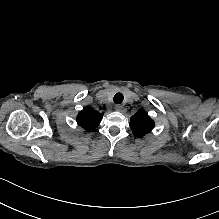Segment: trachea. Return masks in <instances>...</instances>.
<instances>
[{
	"mask_svg": "<svg viewBox=\"0 0 219 219\" xmlns=\"http://www.w3.org/2000/svg\"><path fill=\"white\" fill-rule=\"evenodd\" d=\"M123 95L121 93H117L115 94L114 98H113V101L116 103V104H120L122 101H123Z\"/></svg>",
	"mask_w": 219,
	"mask_h": 219,
	"instance_id": "trachea-1",
	"label": "trachea"
}]
</instances>
